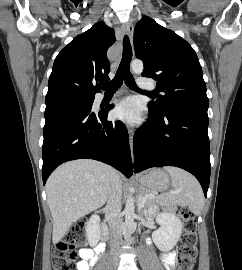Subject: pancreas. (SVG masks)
<instances>
[{"label":"pancreas","instance_id":"obj_1","mask_svg":"<svg viewBox=\"0 0 242 270\" xmlns=\"http://www.w3.org/2000/svg\"><path fill=\"white\" fill-rule=\"evenodd\" d=\"M154 194H155V193L144 191V192L141 193L140 199H142V198L145 197V196H153ZM153 204H154L153 198H147V200L145 201L144 206H145V207H151V206H153ZM166 205H167V204H166ZM165 209H166V210H169V211H173L175 208L172 207V206H166Z\"/></svg>","mask_w":242,"mask_h":270}]
</instances>
